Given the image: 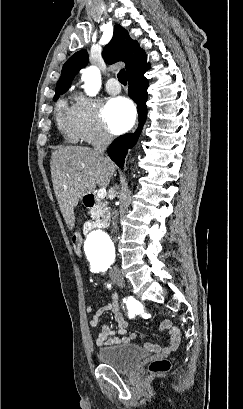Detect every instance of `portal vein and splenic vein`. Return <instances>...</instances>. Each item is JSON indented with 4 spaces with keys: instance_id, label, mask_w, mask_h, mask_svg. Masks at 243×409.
<instances>
[{
    "instance_id": "portal-vein-and-splenic-vein-1",
    "label": "portal vein and splenic vein",
    "mask_w": 243,
    "mask_h": 409,
    "mask_svg": "<svg viewBox=\"0 0 243 409\" xmlns=\"http://www.w3.org/2000/svg\"><path fill=\"white\" fill-rule=\"evenodd\" d=\"M106 194H107L106 189H105V188H101V189H99V191L97 192V197L100 198V199H103V198H105Z\"/></svg>"
}]
</instances>
